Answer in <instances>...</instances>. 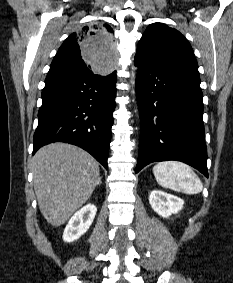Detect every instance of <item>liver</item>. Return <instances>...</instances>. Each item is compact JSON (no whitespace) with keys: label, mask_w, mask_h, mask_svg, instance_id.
<instances>
[{"label":"liver","mask_w":233,"mask_h":283,"mask_svg":"<svg viewBox=\"0 0 233 283\" xmlns=\"http://www.w3.org/2000/svg\"><path fill=\"white\" fill-rule=\"evenodd\" d=\"M39 209L52 226L64 224L99 184L98 162L85 150L66 143L40 148L32 160Z\"/></svg>","instance_id":"obj_1"}]
</instances>
